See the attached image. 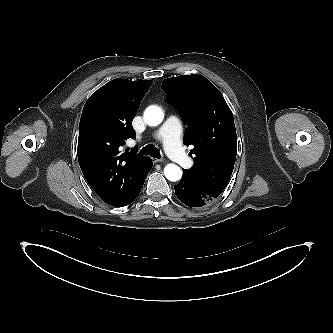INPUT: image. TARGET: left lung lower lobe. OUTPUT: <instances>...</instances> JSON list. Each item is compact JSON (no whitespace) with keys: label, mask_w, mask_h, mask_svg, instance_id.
<instances>
[{"label":"left lung lower lobe","mask_w":333,"mask_h":333,"mask_svg":"<svg viewBox=\"0 0 333 333\" xmlns=\"http://www.w3.org/2000/svg\"><path fill=\"white\" fill-rule=\"evenodd\" d=\"M175 193L181 202L194 208L209 206L217 198L215 194L194 185L185 173L180 182L175 185Z\"/></svg>","instance_id":"1"}]
</instances>
